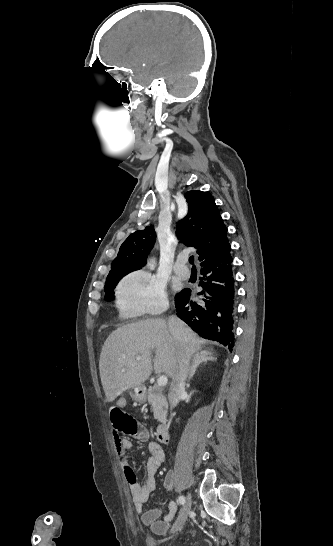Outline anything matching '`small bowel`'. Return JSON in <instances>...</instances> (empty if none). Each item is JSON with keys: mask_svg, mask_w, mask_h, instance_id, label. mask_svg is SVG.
<instances>
[{"mask_svg": "<svg viewBox=\"0 0 333 546\" xmlns=\"http://www.w3.org/2000/svg\"><path fill=\"white\" fill-rule=\"evenodd\" d=\"M122 408L125 407V401L120 400L118 402ZM122 413L129 420V422L135 427L134 432L131 434L135 438L141 441H145L149 437L148 431L128 414ZM113 427V439L116 452L120 458L124 475L128 481L133 497V503L136 513L140 516L142 522L145 525H153L154 529L158 533L166 532L170 528V521L172 520L177 504L172 501L169 503V512L159 519L161 512L159 509H153L150 511L144 510V503L148 500L150 493L155 487V474L158 468L165 460V453L162 446L157 442H149V458L145 466V476L142 482H138L134 474L131 462L127 456L128 449L132 446V441L129 438L121 437L115 432V425L111 418ZM172 485V479L167 478L165 486L170 487Z\"/></svg>", "mask_w": 333, "mask_h": 546, "instance_id": "obj_1", "label": "small bowel"}]
</instances>
